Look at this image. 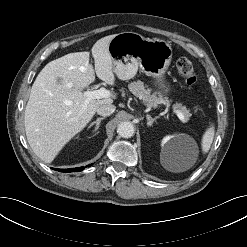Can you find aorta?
<instances>
[{
    "label": "aorta",
    "mask_w": 247,
    "mask_h": 247,
    "mask_svg": "<svg viewBox=\"0 0 247 247\" xmlns=\"http://www.w3.org/2000/svg\"><path fill=\"white\" fill-rule=\"evenodd\" d=\"M117 133L119 136L123 138H130L135 133V128L133 123L129 121H124L118 124L117 126Z\"/></svg>",
    "instance_id": "762f6f07"
}]
</instances>
